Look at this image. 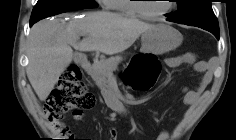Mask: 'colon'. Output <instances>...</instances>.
Segmentation results:
<instances>
[{"label":"colon","mask_w":236,"mask_h":140,"mask_svg":"<svg viewBox=\"0 0 236 140\" xmlns=\"http://www.w3.org/2000/svg\"><path fill=\"white\" fill-rule=\"evenodd\" d=\"M160 70L161 65L155 57L136 56L127 65L123 76L133 90L147 91L156 82ZM95 104L96 98L84 83L80 69L71 65L63 72L51 92L45 112L55 127L61 130L63 113L73 111L78 117L82 111L92 109Z\"/></svg>","instance_id":"colon-1"}]
</instances>
